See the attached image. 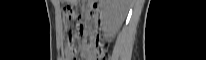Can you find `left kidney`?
Listing matches in <instances>:
<instances>
[{"mask_svg": "<svg viewBox=\"0 0 206 60\" xmlns=\"http://www.w3.org/2000/svg\"><path fill=\"white\" fill-rule=\"evenodd\" d=\"M101 23L105 32H115L128 12V0H101Z\"/></svg>", "mask_w": 206, "mask_h": 60, "instance_id": "5707ae66", "label": "left kidney"}]
</instances>
